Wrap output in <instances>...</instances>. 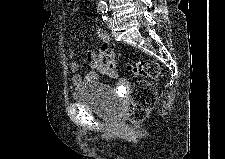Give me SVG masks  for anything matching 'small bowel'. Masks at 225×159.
Listing matches in <instances>:
<instances>
[{"label":"small bowel","instance_id":"small-bowel-1","mask_svg":"<svg viewBox=\"0 0 225 159\" xmlns=\"http://www.w3.org/2000/svg\"><path fill=\"white\" fill-rule=\"evenodd\" d=\"M76 10L77 8L73 7V11ZM97 35L100 41L102 42V47H108V44L110 42V37L108 33L102 29H97ZM67 56L71 59L69 68L73 74L72 81L75 86L94 81L98 79L100 75L114 76L109 73L107 66L103 63V58L100 57L99 53L93 51L88 52V61L92 69L88 73L80 72V65L78 61L74 59L75 49L73 47L70 46L67 49Z\"/></svg>","mask_w":225,"mask_h":159}]
</instances>
